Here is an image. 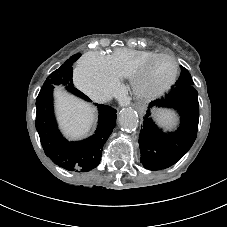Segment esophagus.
Wrapping results in <instances>:
<instances>
[{
  "mask_svg": "<svg viewBox=\"0 0 227 227\" xmlns=\"http://www.w3.org/2000/svg\"><path fill=\"white\" fill-rule=\"evenodd\" d=\"M136 110H137L138 113L143 114V113L146 112L147 107H146L145 104L140 103V104L137 105Z\"/></svg>",
  "mask_w": 227,
  "mask_h": 227,
  "instance_id": "obj_1",
  "label": "esophagus"
}]
</instances>
